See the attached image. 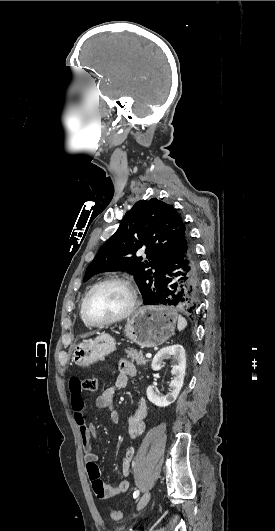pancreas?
I'll list each match as a JSON object with an SVG mask.
<instances>
[{
    "mask_svg": "<svg viewBox=\"0 0 275 531\" xmlns=\"http://www.w3.org/2000/svg\"><path fill=\"white\" fill-rule=\"evenodd\" d=\"M127 353L128 359H131V363H136V365H146L148 359H145L143 351H136V349H124Z\"/></svg>",
    "mask_w": 275,
    "mask_h": 531,
    "instance_id": "1",
    "label": "pancreas"
}]
</instances>
